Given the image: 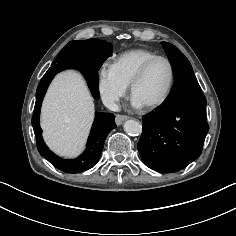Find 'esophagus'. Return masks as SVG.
<instances>
[{
  "instance_id": "esophagus-1",
  "label": "esophagus",
  "mask_w": 236,
  "mask_h": 236,
  "mask_svg": "<svg viewBox=\"0 0 236 236\" xmlns=\"http://www.w3.org/2000/svg\"><path fill=\"white\" fill-rule=\"evenodd\" d=\"M129 117L127 115H121V114H117L116 115V118H115V121H116V124L119 126L122 124V122L126 119H128Z\"/></svg>"
}]
</instances>
